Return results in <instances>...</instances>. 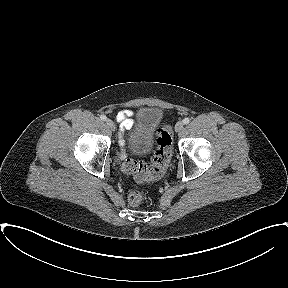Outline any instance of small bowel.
Segmentation results:
<instances>
[{
  "label": "small bowel",
  "instance_id": "c3829d8e",
  "mask_svg": "<svg viewBox=\"0 0 288 288\" xmlns=\"http://www.w3.org/2000/svg\"><path fill=\"white\" fill-rule=\"evenodd\" d=\"M133 117L134 111L126 109L117 114L116 120L120 123L122 130H130L134 127Z\"/></svg>",
  "mask_w": 288,
  "mask_h": 288
}]
</instances>
